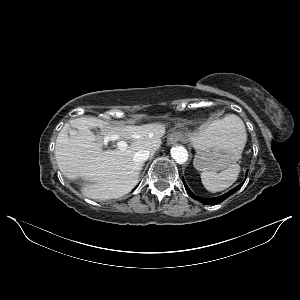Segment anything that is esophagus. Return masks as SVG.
I'll return each mask as SVG.
<instances>
[{
    "label": "esophagus",
    "instance_id": "esophagus-1",
    "mask_svg": "<svg viewBox=\"0 0 300 300\" xmlns=\"http://www.w3.org/2000/svg\"><path fill=\"white\" fill-rule=\"evenodd\" d=\"M178 141V138L177 136L175 135H171L169 138H168V144L171 145V144H176Z\"/></svg>",
    "mask_w": 300,
    "mask_h": 300
}]
</instances>
